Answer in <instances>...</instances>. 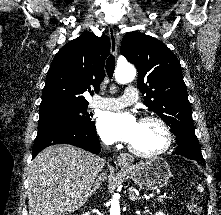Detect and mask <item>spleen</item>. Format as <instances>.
<instances>
[{"mask_svg": "<svg viewBox=\"0 0 221 215\" xmlns=\"http://www.w3.org/2000/svg\"><path fill=\"white\" fill-rule=\"evenodd\" d=\"M198 189L202 192L203 188L201 186H198Z\"/></svg>", "mask_w": 221, "mask_h": 215, "instance_id": "3e777b00", "label": "spleen"}]
</instances>
